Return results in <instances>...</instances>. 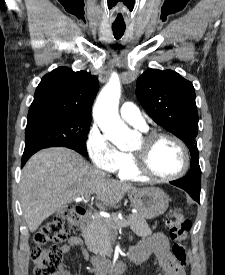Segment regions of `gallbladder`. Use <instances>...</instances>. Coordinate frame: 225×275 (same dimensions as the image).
Wrapping results in <instances>:
<instances>
[{
    "label": "gallbladder",
    "instance_id": "1",
    "mask_svg": "<svg viewBox=\"0 0 225 275\" xmlns=\"http://www.w3.org/2000/svg\"><path fill=\"white\" fill-rule=\"evenodd\" d=\"M63 211H64V208L59 209V210L57 211V213H63Z\"/></svg>",
    "mask_w": 225,
    "mask_h": 275
}]
</instances>
